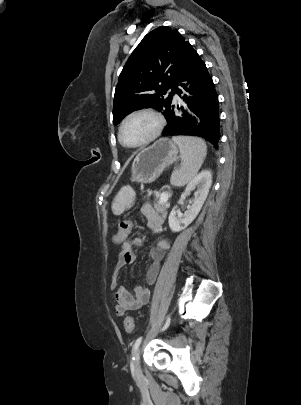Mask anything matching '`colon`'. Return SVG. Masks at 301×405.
<instances>
[{
	"instance_id": "5ec220e1",
	"label": "colon",
	"mask_w": 301,
	"mask_h": 405,
	"mask_svg": "<svg viewBox=\"0 0 301 405\" xmlns=\"http://www.w3.org/2000/svg\"><path fill=\"white\" fill-rule=\"evenodd\" d=\"M135 226V222L129 219H120L117 223L118 231L113 234L111 241L114 243L115 247H121L123 243L126 241V237L130 233V231ZM134 319L132 316H126L124 319V328L125 331L129 334L133 333L134 331Z\"/></svg>"
}]
</instances>
